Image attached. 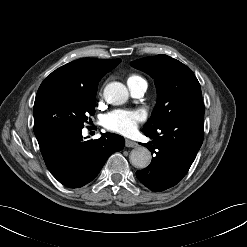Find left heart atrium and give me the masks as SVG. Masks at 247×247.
Returning a JSON list of instances; mask_svg holds the SVG:
<instances>
[{"label": "left heart atrium", "instance_id": "left-heart-atrium-1", "mask_svg": "<svg viewBox=\"0 0 247 247\" xmlns=\"http://www.w3.org/2000/svg\"><path fill=\"white\" fill-rule=\"evenodd\" d=\"M143 120L144 114L141 111L114 110L103 117L102 125L110 131L128 135L134 132Z\"/></svg>", "mask_w": 247, "mask_h": 247}]
</instances>
